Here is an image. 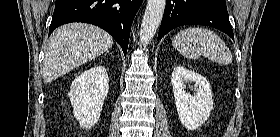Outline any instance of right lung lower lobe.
Returning a JSON list of instances; mask_svg holds the SVG:
<instances>
[{
	"mask_svg": "<svg viewBox=\"0 0 280 137\" xmlns=\"http://www.w3.org/2000/svg\"><path fill=\"white\" fill-rule=\"evenodd\" d=\"M142 1L56 0L49 34L66 23H90L111 34L126 56L132 22Z\"/></svg>",
	"mask_w": 280,
	"mask_h": 137,
	"instance_id": "obj_1",
	"label": "right lung lower lobe"
}]
</instances>
